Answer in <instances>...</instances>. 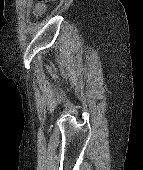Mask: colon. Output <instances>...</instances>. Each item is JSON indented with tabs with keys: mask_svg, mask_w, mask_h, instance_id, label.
Segmentation results:
<instances>
[{
	"mask_svg": "<svg viewBox=\"0 0 143 170\" xmlns=\"http://www.w3.org/2000/svg\"><path fill=\"white\" fill-rule=\"evenodd\" d=\"M41 10H42V6H40V7L38 8V12H41Z\"/></svg>",
	"mask_w": 143,
	"mask_h": 170,
	"instance_id": "obj_1",
	"label": "colon"
}]
</instances>
